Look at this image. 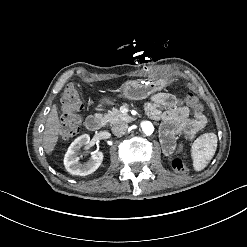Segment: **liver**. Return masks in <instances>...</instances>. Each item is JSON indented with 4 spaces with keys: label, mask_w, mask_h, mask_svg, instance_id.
<instances>
[{
    "label": "liver",
    "mask_w": 247,
    "mask_h": 247,
    "mask_svg": "<svg viewBox=\"0 0 247 247\" xmlns=\"http://www.w3.org/2000/svg\"><path fill=\"white\" fill-rule=\"evenodd\" d=\"M61 126L58 106L53 103L48 114L43 133V148L46 155H51L55 150L59 140Z\"/></svg>",
    "instance_id": "liver-1"
}]
</instances>
